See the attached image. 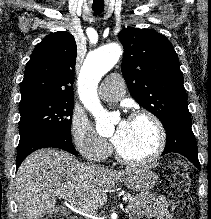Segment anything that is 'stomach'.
<instances>
[{
    "label": "stomach",
    "instance_id": "1",
    "mask_svg": "<svg viewBox=\"0 0 211 219\" xmlns=\"http://www.w3.org/2000/svg\"><path fill=\"white\" fill-rule=\"evenodd\" d=\"M122 180L131 190L136 192H144L152 189L155 186L158 176L149 168H139L136 169L132 176L126 177Z\"/></svg>",
    "mask_w": 211,
    "mask_h": 219
}]
</instances>
